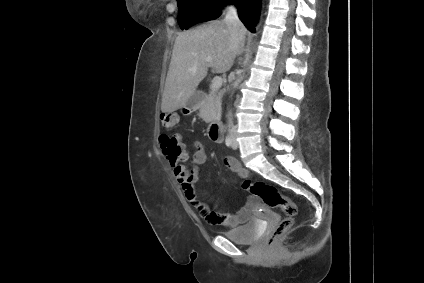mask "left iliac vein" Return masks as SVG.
Masks as SVG:
<instances>
[{
    "label": "left iliac vein",
    "instance_id": "1",
    "mask_svg": "<svg viewBox=\"0 0 424 283\" xmlns=\"http://www.w3.org/2000/svg\"><path fill=\"white\" fill-rule=\"evenodd\" d=\"M237 147H238V143H237V141H236V137H235V135H233V136H232V148H233V149H237Z\"/></svg>",
    "mask_w": 424,
    "mask_h": 283
}]
</instances>
